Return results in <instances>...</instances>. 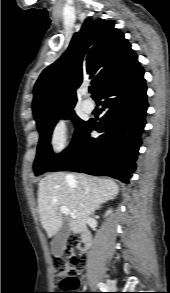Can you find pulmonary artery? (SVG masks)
Here are the masks:
<instances>
[{
	"label": "pulmonary artery",
	"instance_id": "1",
	"mask_svg": "<svg viewBox=\"0 0 170 293\" xmlns=\"http://www.w3.org/2000/svg\"><path fill=\"white\" fill-rule=\"evenodd\" d=\"M82 108L85 112L89 113L94 109V104L89 100H85L82 104Z\"/></svg>",
	"mask_w": 170,
	"mask_h": 293
}]
</instances>
